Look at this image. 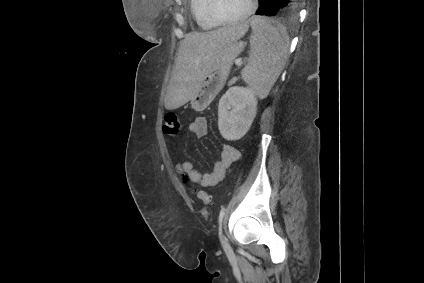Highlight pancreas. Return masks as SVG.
<instances>
[{
  "instance_id": "1",
  "label": "pancreas",
  "mask_w": 424,
  "mask_h": 283,
  "mask_svg": "<svg viewBox=\"0 0 424 283\" xmlns=\"http://www.w3.org/2000/svg\"><path fill=\"white\" fill-rule=\"evenodd\" d=\"M237 80H238V78H236V77L232 78V79L228 82V85H229V86H231V85L235 84Z\"/></svg>"
}]
</instances>
